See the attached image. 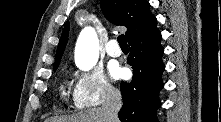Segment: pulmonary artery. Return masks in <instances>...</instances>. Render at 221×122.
I'll return each instance as SVG.
<instances>
[{"label":"pulmonary artery","instance_id":"obj_1","mask_svg":"<svg viewBox=\"0 0 221 122\" xmlns=\"http://www.w3.org/2000/svg\"><path fill=\"white\" fill-rule=\"evenodd\" d=\"M106 52L111 57H118L122 53L120 47L118 46L117 41L114 39L110 40L107 43Z\"/></svg>","mask_w":221,"mask_h":122}]
</instances>
